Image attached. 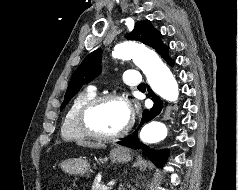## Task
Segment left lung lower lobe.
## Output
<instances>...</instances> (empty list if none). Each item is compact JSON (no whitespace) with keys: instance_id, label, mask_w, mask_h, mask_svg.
I'll return each instance as SVG.
<instances>
[{"instance_id":"obj_1","label":"left lung lower lobe","mask_w":238,"mask_h":190,"mask_svg":"<svg viewBox=\"0 0 238 190\" xmlns=\"http://www.w3.org/2000/svg\"><path fill=\"white\" fill-rule=\"evenodd\" d=\"M164 59L167 61V63L171 66L174 65V60L170 59L168 55L164 57ZM150 96L152 97V100L154 101V106L150 110H144L142 114V120L139 125V127L129 136L126 138H123L121 141L117 142L118 144L130 148H142L143 154L150 157L154 162H156L159 166H162L164 161L166 160V157L168 155V152L166 150H160V151H154L150 150L146 147L145 144L140 143L137 139V133L141 125L145 122H148L152 120L155 116H157L161 110H162V102L161 100L154 95L152 92H150Z\"/></svg>"}]
</instances>
